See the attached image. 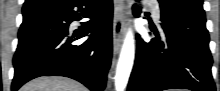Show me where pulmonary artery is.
Wrapping results in <instances>:
<instances>
[{
  "instance_id": "obj_1",
  "label": "pulmonary artery",
  "mask_w": 220,
  "mask_h": 91,
  "mask_svg": "<svg viewBox=\"0 0 220 91\" xmlns=\"http://www.w3.org/2000/svg\"><path fill=\"white\" fill-rule=\"evenodd\" d=\"M152 3V12L154 17L159 20L160 19V10L158 8V5L156 4V1H150Z\"/></svg>"
}]
</instances>
